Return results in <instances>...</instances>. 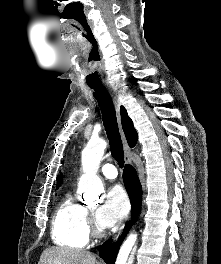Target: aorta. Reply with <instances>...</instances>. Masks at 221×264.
Segmentation results:
<instances>
[{
  "instance_id": "aorta-1",
  "label": "aorta",
  "mask_w": 221,
  "mask_h": 264,
  "mask_svg": "<svg viewBox=\"0 0 221 264\" xmlns=\"http://www.w3.org/2000/svg\"><path fill=\"white\" fill-rule=\"evenodd\" d=\"M106 146L107 144L104 140H100L97 143L90 142L82 151L83 175L79 181V189L83 192L86 202H95L98 196L104 192L103 184L97 176V171ZM136 249V237L131 235L120 248L115 264H133Z\"/></svg>"
}]
</instances>
